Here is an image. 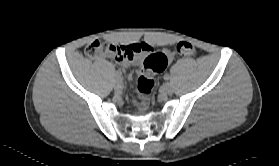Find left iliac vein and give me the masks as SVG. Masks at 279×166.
Returning <instances> with one entry per match:
<instances>
[{"label": "left iliac vein", "mask_w": 279, "mask_h": 166, "mask_svg": "<svg viewBox=\"0 0 279 166\" xmlns=\"http://www.w3.org/2000/svg\"><path fill=\"white\" fill-rule=\"evenodd\" d=\"M162 91H163V93H165V94L171 95V94L173 93V87H172L171 84L165 83V84L162 86Z\"/></svg>", "instance_id": "obj_1"}]
</instances>
